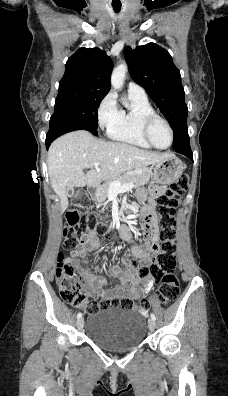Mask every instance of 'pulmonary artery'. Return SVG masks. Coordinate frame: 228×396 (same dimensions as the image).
Returning <instances> with one entry per match:
<instances>
[{
    "label": "pulmonary artery",
    "instance_id": "pulmonary-artery-1",
    "mask_svg": "<svg viewBox=\"0 0 228 396\" xmlns=\"http://www.w3.org/2000/svg\"><path fill=\"white\" fill-rule=\"evenodd\" d=\"M128 93L140 97H146L144 88L133 81L128 83Z\"/></svg>",
    "mask_w": 228,
    "mask_h": 396
}]
</instances>
